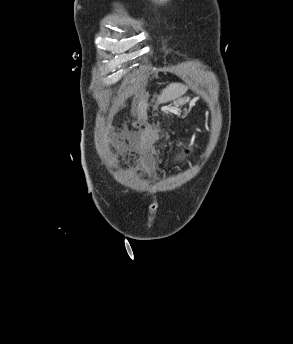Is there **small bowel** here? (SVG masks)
<instances>
[{"label": "small bowel", "mask_w": 293, "mask_h": 344, "mask_svg": "<svg viewBox=\"0 0 293 344\" xmlns=\"http://www.w3.org/2000/svg\"><path fill=\"white\" fill-rule=\"evenodd\" d=\"M158 140V132L153 128L144 129L139 135L133 134L127 138V147L131 150L151 152Z\"/></svg>", "instance_id": "1"}]
</instances>
